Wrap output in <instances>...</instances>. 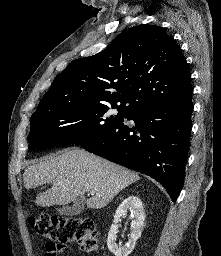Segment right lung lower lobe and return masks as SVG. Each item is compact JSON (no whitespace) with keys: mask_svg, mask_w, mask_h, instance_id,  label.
<instances>
[{"mask_svg":"<svg viewBox=\"0 0 221 256\" xmlns=\"http://www.w3.org/2000/svg\"><path fill=\"white\" fill-rule=\"evenodd\" d=\"M192 94L135 112L128 120L80 146L160 182L175 202L184 183L190 146Z\"/></svg>","mask_w":221,"mask_h":256,"instance_id":"1","label":"right lung lower lobe"}]
</instances>
